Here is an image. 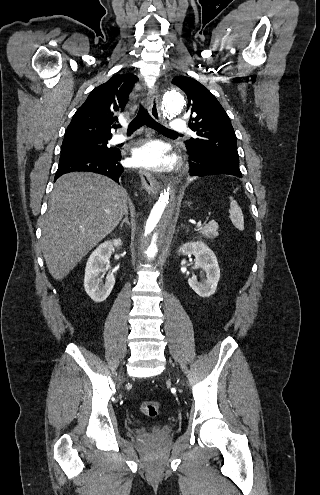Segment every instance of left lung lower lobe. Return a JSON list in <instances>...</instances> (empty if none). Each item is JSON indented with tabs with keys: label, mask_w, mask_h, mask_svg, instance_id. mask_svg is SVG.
I'll use <instances>...</instances> for the list:
<instances>
[{
	"label": "left lung lower lobe",
	"mask_w": 320,
	"mask_h": 495,
	"mask_svg": "<svg viewBox=\"0 0 320 495\" xmlns=\"http://www.w3.org/2000/svg\"><path fill=\"white\" fill-rule=\"evenodd\" d=\"M188 154L191 161V176L202 177L207 175L227 174L242 177V173L237 165L216 161L212 157L201 152H188Z\"/></svg>",
	"instance_id": "1"
}]
</instances>
